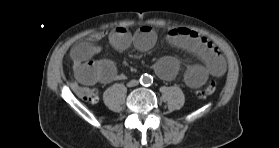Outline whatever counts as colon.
Listing matches in <instances>:
<instances>
[{
    "mask_svg": "<svg viewBox=\"0 0 279 148\" xmlns=\"http://www.w3.org/2000/svg\"><path fill=\"white\" fill-rule=\"evenodd\" d=\"M75 90L79 95V97H81L83 100L87 102L96 103L98 100L97 92L94 89L88 87L76 86ZM215 90H216L215 82L210 81L205 87L201 88L197 92V95L200 98H205L211 96L215 92Z\"/></svg>",
    "mask_w": 279,
    "mask_h": 148,
    "instance_id": "5ec220e1",
    "label": "colon"
}]
</instances>
